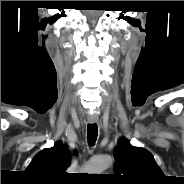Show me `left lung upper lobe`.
I'll use <instances>...</instances> for the list:
<instances>
[{
  "label": "left lung upper lobe",
  "mask_w": 184,
  "mask_h": 184,
  "mask_svg": "<svg viewBox=\"0 0 184 184\" xmlns=\"http://www.w3.org/2000/svg\"><path fill=\"white\" fill-rule=\"evenodd\" d=\"M114 174L118 184H163L165 176L153 156L127 139H120L114 149Z\"/></svg>",
  "instance_id": "5c2ea615"
}]
</instances>
